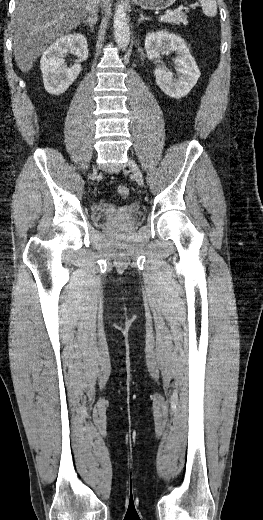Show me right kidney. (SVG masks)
Listing matches in <instances>:
<instances>
[{"label": "right kidney", "mask_w": 263, "mask_h": 520, "mask_svg": "<svg viewBox=\"0 0 263 520\" xmlns=\"http://www.w3.org/2000/svg\"><path fill=\"white\" fill-rule=\"evenodd\" d=\"M68 52L78 57L72 67L64 65V55ZM88 58L87 39L83 34L74 33L58 38L48 47L40 61L46 91L52 95L64 93L79 76L81 62Z\"/></svg>", "instance_id": "right-kidney-1"}]
</instances>
